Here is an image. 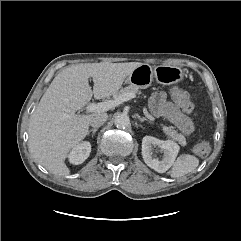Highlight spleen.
Returning <instances> with one entry per match:
<instances>
[{"label": "spleen", "mask_w": 241, "mask_h": 241, "mask_svg": "<svg viewBox=\"0 0 241 241\" xmlns=\"http://www.w3.org/2000/svg\"><path fill=\"white\" fill-rule=\"evenodd\" d=\"M199 165V159L193 155L184 154L173 163L169 175L173 178L182 177L194 171Z\"/></svg>", "instance_id": "1"}]
</instances>
